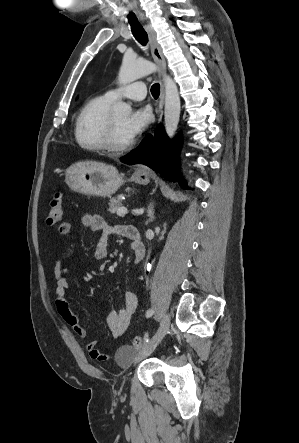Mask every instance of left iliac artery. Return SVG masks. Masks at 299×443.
Listing matches in <instances>:
<instances>
[{
	"instance_id": "obj_1",
	"label": "left iliac artery",
	"mask_w": 299,
	"mask_h": 443,
	"mask_svg": "<svg viewBox=\"0 0 299 443\" xmlns=\"http://www.w3.org/2000/svg\"><path fill=\"white\" fill-rule=\"evenodd\" d=\"M153 313H154V310H153V309H149V310L146 312V317H150V316H152ZM145 340H146V342H148V335H147V334H145Z\"/></svg>"
}]
</instances>
